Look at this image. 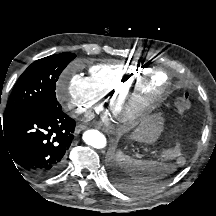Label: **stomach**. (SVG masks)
<instances>
[{
	"label": "stomach",
	"mask_w": 216,
	"mask_h": 216,
	"mask_svg": "<svg viewBox=\"0 0 216 216\" xmlns=\"http://www.w3.org/2000/svg\"><path fill=\"white\" fill-rule=\"evenodd\" d=\"M162 130L163 118L160 114L155 113L142 119L139 126L132 134V138L138 141L151 143L158 139Z\"/></svg>",
	"instance_id": "0dacf381"
}]
</instances>
